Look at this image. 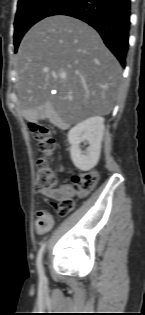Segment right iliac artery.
I'll list each match as a JSON object with an SVG mask.
<instances>
[{
    "instance_id": "1",
    "label": "right iliac artery",
    "mask_w": 145,
    "mask_h": 315,
    "mask_svg": "<svg viewBox=\"0 0 145 315\" xmlns=\"http://www.w3.org/2000/svg\"><path fill=\"white\" fill-rule=\"evenodd\" d=\"M45 245H46V243L44 242L41 245V248H40L38 255H37V269H38L39 278L41 281L45 280L44 269H43V265H42V255H43V252L45 249Z\"/></svg>"
}]
</instances>
